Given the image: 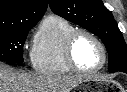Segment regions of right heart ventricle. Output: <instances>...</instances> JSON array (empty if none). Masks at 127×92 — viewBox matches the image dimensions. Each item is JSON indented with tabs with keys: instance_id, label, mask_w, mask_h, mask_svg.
<instances>
[{
	"instance_id": "obj_1",
	"label": "right heart ventricle",
	"mask_w": 127,
	"mask_h": 92,
	"mask_svg": "<svg viewBox=\"0 0 127 92\" xmlns=\"http://www.w3.org/2000/svg\"><path fill=\"white\" fill-rule=\"evenodd\" d=\"M74 26L57 15H48L40 23L33 40V69L44 75H64L72 70L66 63L64 45Z\"/></svg>"
}]
</instances>
